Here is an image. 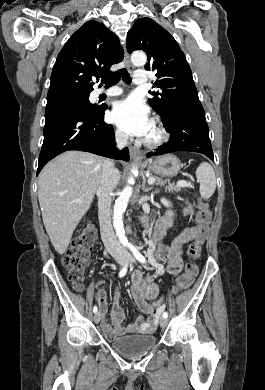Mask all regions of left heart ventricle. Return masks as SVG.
Returning <instances> with one entry per match:
<instances>
[{"mask_svg":"<svg viewBox=\"0 0 265 390\" xmlns=\"http://www.w3.org/2000/svg\"><path fill=\"white\" fill-rule=\"evenodd\" d=\"M153 134H154V131H153V129H152V131L150 132V134L148 135V137H151Z\"/></svg>","mask_w":265,"mask_h":390,"instance_id":"b2bd125f","label":"left heart ventricle"}]
</instances>
